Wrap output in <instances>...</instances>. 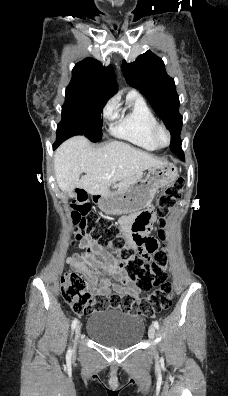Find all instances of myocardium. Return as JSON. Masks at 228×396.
Returning a JSON list of instances; mask_svg holds the SVG:
<instances>
[{
    "instance_id": "f54148a6",
    "label": "myocardium",
    "mask_w": 228,
    "mask_h": 396,
    "mask_svg": "<svg viewBox=\"0 0 228 396\" xmlns=\"http://www.w3.org/2000/svg\"><path fill=\"white\" fill-rule=\"evenodd\" d=\"M160 132H163V133L166 135V138H167V142H166V144H164V145H162V144H160V143L158 142V134H159ZM150 136H151V139H152L154 145H155L157 148H165V147H167V146L170 145V142H171V134H170L168 128H167L164 124H161V123H158V122H157V123L151 128V130H150Z\"/></svg>"
}]
</instances>
